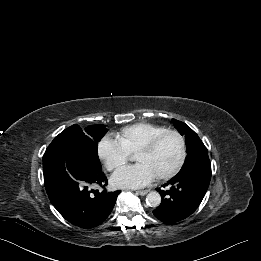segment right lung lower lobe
<instances>
[{
	"label": "right lung lower lobe",
	"instance_id": "1",
	"mask_svg": "<svg viewBox=\"0 0 261 261\" xmlns=\"http://www.w3.org/2000/svg\"><path fill=\"white\" fill-rule=\"evenodd\" d=\"M48 197L57 211L70 223L81 228L100 225L111 213L121 191L108 193L107 178L101 168L88 162L82 144L75 140L69 160L44 169ZM96 186L103 191L92 189Z\"/></svg>",
	"mask_w": 261,
	"mask_h": 261
}]
</instances>
